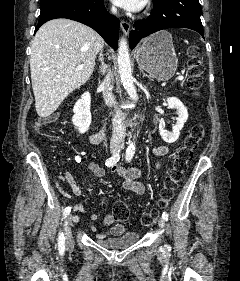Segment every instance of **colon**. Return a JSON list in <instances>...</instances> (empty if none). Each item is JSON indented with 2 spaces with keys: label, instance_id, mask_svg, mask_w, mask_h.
<instances>
[{
  "label": "colon",
  "instance_id": "colon-1",
  "mask_svg": "<svg viewBox=\"0 0 240 281\" xmlns=\"http://www.w3.org/2000/svg\"><path fill=\"white\" fill-rule=\"evenodd\" d=\"M186 84L187 87L194 93H197L202 85V65L198 56V48L196 46H191L189 49V58L186 68ZM55 119V116H52L48 118L44 124H51L55 121ZM203 137V126L201 124L194 125L189 134L185 137L183 145L179 148L173 160L172 166L169 169L161 189L158 206L142 218L143 225L149 226L154 224L160 210L168 205L178 184L184 177L194 150L197 148V145ZM113 216L121 225H126L129 219V208L126 203L122 201L116 202L113 207Z\"/></svg>",
  "mask_w": 240,
  "mask_h": 281
}]
</instances>
